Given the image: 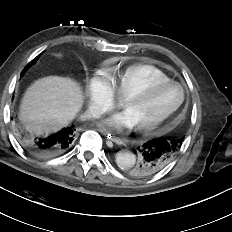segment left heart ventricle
Here are the masks:
<instances>
[{
	"instance_id": "left-heart-ventricle-1",
	"label": "left heart ventricle",
	"mask_w": 232,
	"mask_h": 232,
	"mask_svg": "<svg viewBox=\"0 0 232 232\" xmlns=\"http://www.w3.org/2000/svg\"><path fill=\"white\" fill-rule=\"evenodd\" d=\"M181 90L177 86H166L141 101L124 105L135 126L152 123L171 110L180 100Z\"/></svg>"
}]
</instances>
